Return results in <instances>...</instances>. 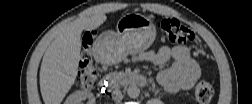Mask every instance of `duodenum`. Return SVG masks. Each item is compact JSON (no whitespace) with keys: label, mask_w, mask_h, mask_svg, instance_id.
Listing matches in <instances>:
<instances>
[{"label":"duodenum","mask_w":252,"mask_h":104,"mask_svg":"<svg viewBox=\"0 0 252 104\" xmlns=\"http://www.w3.org/2000/svg\"><path fill=\"white\" fill-rule=\"evenodd\" d=\"M118 84L146 87L149 86L151 82L142 75L115 72L103 78L99 83V87L101 90L107 91L108 89L116 87Z\"/></svg>","instance_id":"1"}]
</instances>
